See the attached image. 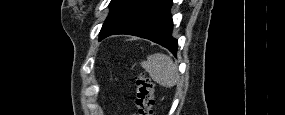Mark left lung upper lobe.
I'll return each instance as SVG.
<instances>
[{
    "label": "left lung upper lobe",
    "instance_id": "left-lung-upper-lobe-1",
    "mask_svg": "<svg viewBox=\"0 0 285 115\" xmlns=\"http://www.w3.org/2000/svg\"><path fill=\"white\" fill-rule=\"evenodd\" d=\"M130 0H112L110 2V12H109V15L108 17L106 18L103 26H102V29L100 31V36L102 35L103 31H104V28L105 26L108 24V22L112 19V17L121 9L123 8Z\"/></svg>",
    "mask_w": 285,
    "mask_h": 115
}]
</instances>
